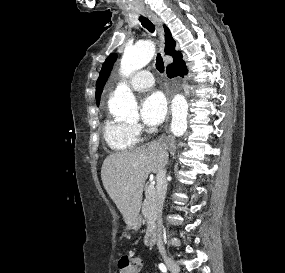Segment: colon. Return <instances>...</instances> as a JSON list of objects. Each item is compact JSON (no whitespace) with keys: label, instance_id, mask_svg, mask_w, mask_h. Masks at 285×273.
Listing matches in <instances>:
<instances>
[{"label":"colon","instance_id":"colon-1","mask_svg":"<svg viewBox=\"0 0 285 273\" xmlns=\"http://www.w3.org/2000/svg\"><path fill=\"white\" fill-rule=\"evenodd\" d=\"M119 273H138L141 260L137 257L124 256L119 259Z\"/></svg>","mask_w":285,"mask_h":273}]
</instances>
